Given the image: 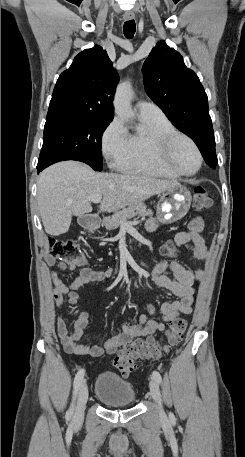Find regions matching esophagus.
I'll list each match as a JSON object with an SVG mask.
<instances>
[{
    "label": "esophagus",
    "instance_id": "obj_1",
    "mask_svg": "<svg viewBox=\"0 0 245 457\" xmlns=\"http://www.w3.org/2000/svg\"><path fill=\"white\" fill-rule=\"evenodd\" d=\"M134 13H131V12H126L124 15H123V18L124 20H132L134 18Z\"/></svg>",
    "mask_w": 245,
    "mask_h": 457
}]
</instances>
